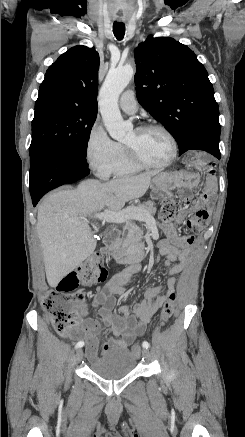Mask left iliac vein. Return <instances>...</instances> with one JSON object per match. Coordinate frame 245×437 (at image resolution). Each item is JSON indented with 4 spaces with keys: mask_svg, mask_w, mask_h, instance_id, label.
Returning a JSON list of instances; mask_svg holds the SVG:
<instances>
[{
    "mask_svg": "<svg viewBox=\"0 0 245 437\" xmlns=\"http://www.w3.org/2000/svg\"><path fill=\"white\" fill-rule=\"evenodd\" d=\"M142 354H143V357H144L146 360H148V359L150 358V353H149V351H148L147 349H144L143 352H142Z\"/></svg>",
    "mask_w": 245,
    "mask_h": 437,
    "instance_id": "4c4485c4",
    "label": "left iliac vein"
}]
</instances>
